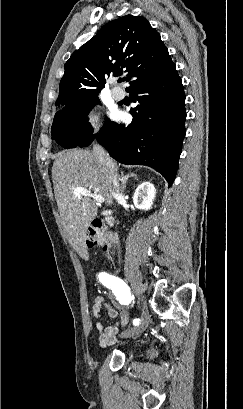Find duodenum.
I'll list each match as a JSON object with an SVG mask.
<instances>
[{
  "mask_svg": "<svg viewBox=\"0 0 243 409\" xmlns=\"http://www.w3.org/2000/svg\"><path fill=\"white\" fill-rule=\"evenodd\" d=\"M104 215H105V222L107 223V224H112V222H113V220H112V217H111V215H110V212H108V211H106L105 213H104Z\"/></svg>",
  "mask_w": 243,
  "mask_h": 409,
  "instance_id": "obj_1",
  "label": "duodenum"
}]
</instances>
